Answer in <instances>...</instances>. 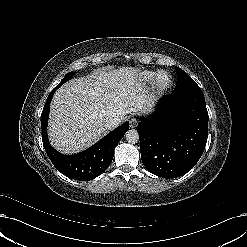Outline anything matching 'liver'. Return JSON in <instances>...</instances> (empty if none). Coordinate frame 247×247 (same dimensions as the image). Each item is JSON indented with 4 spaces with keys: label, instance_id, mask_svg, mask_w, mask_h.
I'll use <instances>...</instances> for the list:
<instances>
[{
    "label": "liver",
    "instance_id": "1",
    "mask_svg": "<svg viewBox=\"0 0 247 247\" xmlns=\"http://www.w3.org/2000/svg\"><path fill=\"white\" fill-rule=\"evenodd\" d=\"M133 67L102 68L85 78L72 79L54 94L49 112L51 145L64 154L80 152L104 137L110 117L123 122L130 115L149 113L153 96Z\"/></svg>",
    "mask_w": 247,
    "mask_h": 247
}]
</instances>
